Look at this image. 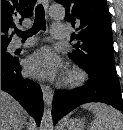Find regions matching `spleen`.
Wrapping results in <instances>:
<instances>
[{"mask_svg":"<svg viewBox=\"0 0 123 130\" xmlns=\"http://www.w3.org/2000/svg\"><path fill=\"white\" fill-rule=\"evenodd\" d=\"M82 107L94 114L90 130H123L121 114L113 107L102 103H88Z\"/></svg>","mask_w":123,"mask_h":130,"instance_id":"spleen-1","label":"spleen"}]
</instances>
